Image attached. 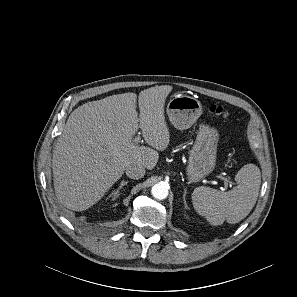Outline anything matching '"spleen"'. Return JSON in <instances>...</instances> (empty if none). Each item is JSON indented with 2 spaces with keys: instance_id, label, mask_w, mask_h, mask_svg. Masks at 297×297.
<instances>
[{
  "instance_id": "3e777b00",
  "label": "spleen",
  "mask_w": 297,
  "mask_h": 297,
  "mask_svg": "<svg viewBox=\"0 0 297 297\" xmlns=\"http://www.w3.org/2000/svg\"><path fill=\"white\" fill-rule=\"evenodd\" d=\"M238 185L228 192L209 187H197L192 194L194 209L214 226L225 220L230 224L242 221L256 204L261 184L260 169L244 165L236 174Z\"/></svg>"
}]
</instances>
